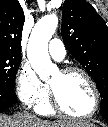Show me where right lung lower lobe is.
<instances>
[{"instance_id":"1","label":"right lung lower lobe","mask_w":108,"mask_h":127,"mask_svg":"<svg viewBox=\"0 0 108 127\" xmlns=\"http://www.w3.org/2000/svg\"><path fill=\"white\" fill-rule=\"evenodd\" d=\"M17 100V96L13 89H9L0 85V111L13 105Z\"/></svg>"}]
</instances>
